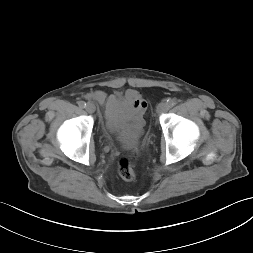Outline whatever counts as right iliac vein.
<instances>
[{"label":"right iliac vein","instance_id":"obj_1","mask_svg":"<svg viewBox=\"0 0 253 253\" xmlns=\"http://www.w3.org/2000/svg\"><path fill=\"white\" fill-rule=\"evenodd\" d=\"M85 109L88 113H93L95 111V105L93 103H88Z\"/></svg>","mask_w":253,"mask_h":253}]
</instances>
